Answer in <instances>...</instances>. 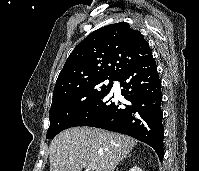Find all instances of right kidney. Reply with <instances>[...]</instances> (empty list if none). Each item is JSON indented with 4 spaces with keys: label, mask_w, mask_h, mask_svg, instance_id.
Returning a JSON list of instances; mask_svg holds the SVG:
<instances>
[{
    "label": "right kidney",
    "mask_w": 199,
    "mask_h": 171,
    "mask_svg": "<svg viewBox=\"0 0 199 171\" xmlns=\"http://www.w3.org/2000/svg\"><path fill=\"white\" fill-rule=\"evenodd\" d=\"M129 171H142V169H140L137 166H134L133 168H131Z\"/></svg>",
    "instance_id": "1"
}]
</instances>
